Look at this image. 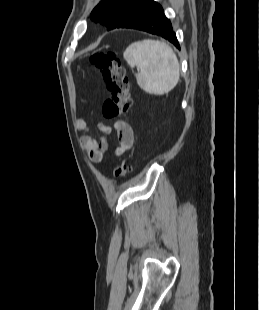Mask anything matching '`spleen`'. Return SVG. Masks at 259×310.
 Here are the masks:
<instances>
[{
    "label": "spleen",
    "instance_id": "obj_1",
    "mask_svg": "<svg viewBox=\"0 0 259 310\" xmlns=\"http://www.w3.org/2000/svg\"><path fill=\"white\" fill-rule=\"evenodd\" d=\"M127 64L140 70L137 84L149 94L171 91L180 78V64L172 48L159 40L145 39L131 43L123 53Z\"/></svg>",
    "mask_w": 259,
    "mask_h": 310
}]
</instances>
